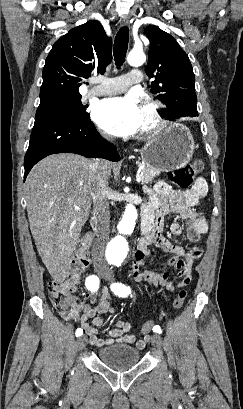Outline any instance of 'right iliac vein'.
Masks as SVG:
<instances>
[{"label": "right iliac vein", "mask_w": 243, "mask_h": 409, "mask_svg": "<svg viewBox=\"0 0 243 409\" xmlns=\"http://www.w3.org/2000/svg\"><path fill=\"white\" fill-rule=\"evenodd\" d=\"M101 275L103 276V274H101ZM76 344H77V348H78L79 350H83V349L85 348L86 344H87V337H86L85 335L80 336V337L77 339Z\"/></svg>", "instance_id": "63e3f726"}]
</instances>
